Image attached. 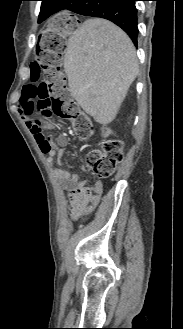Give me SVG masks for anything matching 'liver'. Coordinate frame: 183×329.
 Segmentation results:
<instances>
[{
	"label": "liver",
	"instance_id": "1",
	"mask_svg": "<svg viewBox=\"0 0 183 329\" xmlns=\"http://www.w3.org/2000/svg\"><path fill=\"white\" fill-rule=\"evenodd\" d=\"M64 70L72 96L101 124L113 121L138 74L128 35L104 19H88L68 39Z\"/></svg>",
	"mask_w": 183,
	"mask_h": 329
}]
</instances>
